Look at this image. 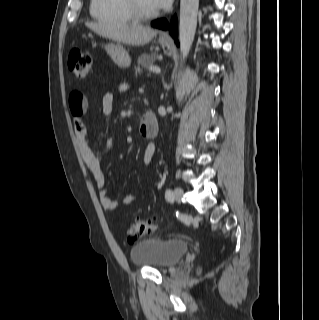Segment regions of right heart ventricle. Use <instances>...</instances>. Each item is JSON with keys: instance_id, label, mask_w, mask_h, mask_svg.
Listing matches in <instances>:
<instances>
[{"instance_id": "obj_1", "label": "right heart ventricle", "mask_w": 319, "mask_h": 320, "mask_svg": "<svg viewBox=\"0 0 319 320\" xmlns=\"http://www.w3.org/2000/svg\"><path fill=\"white\" fill-rule=\"evenodd\" d=\"M90 15L109 24H129L133 21L125 0H91Z\"/></svg>"}]
</instances>
